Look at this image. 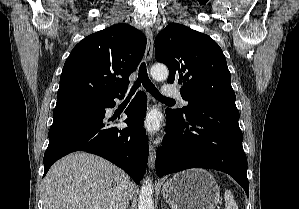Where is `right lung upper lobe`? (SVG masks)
I'll return each mask as SVG.
<instances>
[{"label":"right lung upper lobe","mask_w":299,"mask_h":209,"mask_svg":"<svg viewBox=\"0 0 299 209\" xmlns=\"http://www.w3.org/2000/svg\"><path fill=\"white\" fill-rule=\"evenodd\" d=\"M145 46L144 34L125 23L87 36L73 48L64 64L57 100L124 94Z\"/></svg>","instance_id":"1"}]
</instances>
